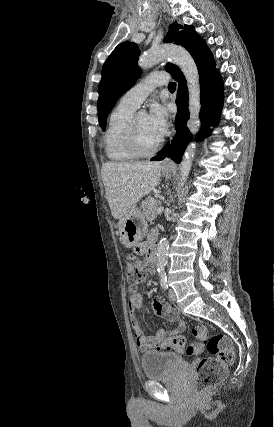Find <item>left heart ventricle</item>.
<instances>
[{
	"instance_id": "b2bd125f",
	"label": "left heart ventricle",
	"mask_w": 274,
	"mask_h": 427,
	"mask_svg": "<svg viewBox=\"0 0 274 427\" xmlns=\"http://www.w3.org/2000/svg\"><path fill=\"white\" fill-rule=\"evenodd\" d=\"M162 138L156 136L148 125L147 115L139 113L137 117V144L138 148L147 152L153 149Z\"/></svg>"
}]
</instances>
